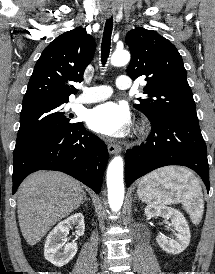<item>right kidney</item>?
<instances>
[{"mask_svg": "<svg viewBox=\"0 0 215 274\" xmlns=\"http://www.w3.org/2000/svg\"><path fill=\"white\" fill-rule=\"evenodd\" d=\"M72 225L76 226V234L78 236L84 234L85 223L82 213H75L58 223L45 241L44 257L57 267H62L69 263L77 253L78 247L75 241L66 245L61 243L63 238L69 234V229Z\"/></svg>", "mask_w": 215, "mask_h": 274, "instance_id": "1", "label": "right kidney"}]
</instances>
